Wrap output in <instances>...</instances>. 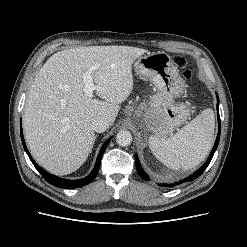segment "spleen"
<instances>
[{"label":"spleen","mask_w":247,"mask_h":247,"mask_svg":"<svg viewBox=\"0 0 247 247\" xmlns=\"http://www.w3.org/2000/svg\"><path fill=\"white\" fill-rule=\"evenodd\" d=\"M214 113L205 109L171 138L149 137L154 156L170 169L189 170L199 165L214 143Z\"/></svg>","instance_id":"3e777b00"}]
</instances>
